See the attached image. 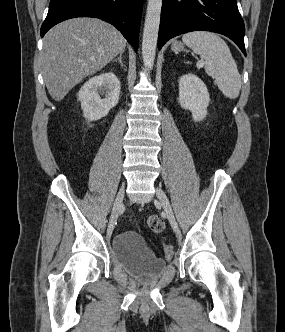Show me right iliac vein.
Returning <instances> with one entry per match:
<instances>
[{
  "label": "right iliac vein",
  "instance_id": "right-iliac-vein-1",
  "mask_svg": "<svg viewBox=\"0 0 285 332\" xmlns=\"http://www.w3.org/2000/svg\"><path fill=\"white\" fill-rule=\"evenodd\" d=\"M124 194H125L124 187H122L118 191L115 202H114V205H113V209H112V213H111V216H110V221H109L108 229H107L108 235L111 234L112 231H113L114 223H115V221L118 217L119 211H120V209L122 207V204H123Z\"/></svg>",
  "mask_w": 285,
  "mask_h": 332
}]
</instances>
